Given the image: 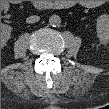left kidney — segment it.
<instances>
[{"label":"left kidney","mask_w":109,"mask_h":109,"mask_svg":"<svg viewBox=\"0 0 109 109\" xmlns=\"http://www.w3.org/2000/svg\"><path fill=\"white\" fill-rule=\"evenodd\" d=\"M97 36L101 41H107L109 36V17L101 15L97 19Z\"/></svg>","instance_id":"1"}]
</instances>
